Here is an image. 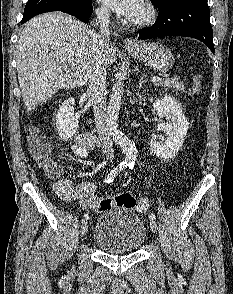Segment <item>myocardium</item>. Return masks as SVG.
Masks as SVG:
<instances>
[{
	"label": "myocardium",
	"instance_id": "obj_1",
	"mask_svg": "<svg viewBox=\"0 0 233 294\" xmlns=\"http://www.w3.org/2000/svg\"><path fill=\"white\" fill-rule=\"evenodd\" d=\"M156 18V11L152 4L146 2L143 5V12L141 17L133 19L130 23L136 27H143L151 24Z\"/></svg>",
	"mask_w": 233,
	"mask_h": 294
}]
</instances>
